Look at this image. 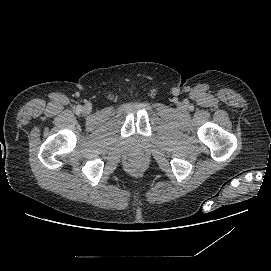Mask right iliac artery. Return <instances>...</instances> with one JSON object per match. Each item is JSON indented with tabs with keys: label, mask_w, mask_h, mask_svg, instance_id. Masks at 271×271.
Listing matches in <instances>:
<instances>
[{
	"label": "right iliac artery",
	"mask_w": 271,
	"mask_h": 271,
	"mask_svg": "<svg viewBox=\"0 0 271 271\" xmlns=\"http://www.w3.org/2000/svg\"><path fill=\"white\" fill-rule=\"evenodd\" d=\"M81 109L80 108H77V112L80 113Z\"/></svg>",
	"instance_id": "obj_1"
}]
</instances>
